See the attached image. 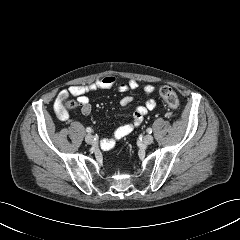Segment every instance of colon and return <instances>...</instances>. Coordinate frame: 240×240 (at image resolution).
Wrapping results in <instances>:
<instances>
[{"mask_svg": "<svg viewBox=\"0 0 240 240\" xmlns=\"http://www.w3.org/2000/svg\"><path fill=\"white\" fill-rule=\"evenodd\" d=\"M160 95L170 108L176 109L179 106L178 96L170 86H163L160 89ZM60 106L62 111L66 112L75 107V102L65 97L61 100Z\"/></svg>", "mask_w": 240, "mask_h": 240, "instance_id": "1", "label": "colon"}]
</instances>
